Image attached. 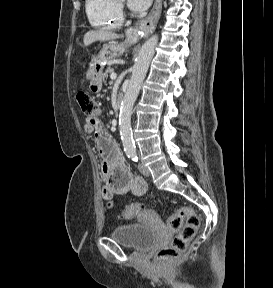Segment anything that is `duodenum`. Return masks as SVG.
<instances>
[{"mask_svg":"<svg viewBox=\"0 0 273 288\" xmlns=\"http://www.w3.org/2000/svg\"><path fill=\"white\" fill-rule=\"evenodd\" d=\"M124 102H125V97H124V95H123L122 93H119V94H118V97H117V105H118L119 107H121V106L124 104Z\"/></svg>","mask_w":273,"mask_h":288,"instance_id":"1","label":"duodenum"}]
</instances>
